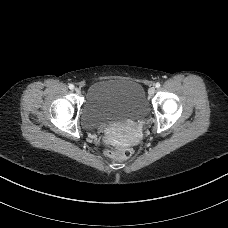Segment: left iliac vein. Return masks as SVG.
Segmentation results:
<instances>
[{
  "mask_svg": "<svg viewBox=\"0 0 228 228\" xmlns=\"http://www.w3.org/2000/svg\"><path fill=\"white\" fill-rule=\"evenodd\" d=\"M155 92H156L155 87H150L149 90H148V93H149L150 96H153L155 94Z\"/></svg>",
  "mask_w": 228,
  "mask_h": 228,
  "instance_id": "obj_1",
  "label": "left iliac vein"
}]
</instances>
